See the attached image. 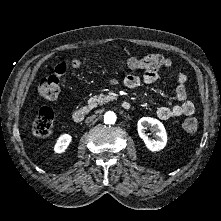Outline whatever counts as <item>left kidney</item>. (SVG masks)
<instances>
[{
  "mask_svg": "<svg viewBox=\"0 0 221 221\" xmlns=\"http://www.w3.org/2000/svg\"><path fill=\"white\" fill-rule=\"evenodd\" d=\"M150 126L151 129L156 133V140L150 139L145 134V129ZM138 134L143 139L145 146L152 152L162 150L167 143V133L162 122L155 118L143 117L138 121L137 124Z\"/></svg>",
  "mask_w": 221,
  "mask_h": 221,
  "instance_id": "5707ae66",
  "label": "left kidney"
}]
</instances>
